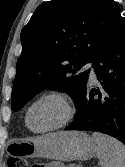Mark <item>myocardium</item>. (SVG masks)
<instances>
[{"instance_id":"obj_1","label":"myocardium","mask_w":125,"mask_h":167,"mask_svg":"<svg viewBox=\"0 0 125 167\" xmlns=\"http://www.w3.org/2000/svg\"><path fill=\"white\" fill-rule=\"evenodd\" d=\"M47 99H54L56 101H58L62 108H63V115L60 118V120L55 123L54 125L47 127L45 129H41V130H36L33 129L30 125V113L32 111V109L39 103H41L44 100ZM74 106L73 103L71 101V99L69 98V96L64 93L63 91L60 90H51L48 92L43 93L42 95H40L39 97H37L27 108L26 110V114H25V123L26 126L28 127L29 130H31L34 133H38V134H45L48 132H52L55 130H58L62 127H64L65 125H67L71 119L74 116Z\"/></svg>"}]
</instances>
